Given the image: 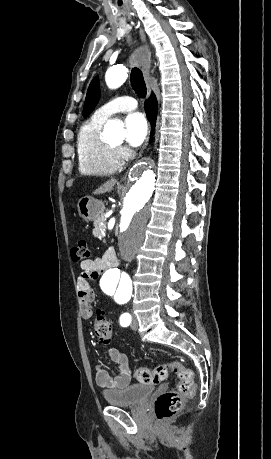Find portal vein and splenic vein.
Listing matches in <instances>:
<instances>
[{
  "label": "portal vein and splenic vein",
  "instance_id": "18ae733b",
  "mask_svg": "<svg viewBox=\"0 0 271 459\" xmlns=\"http://www.w3.org/2000/svg\"><path fill=\"white\" fill-rule=\"evenodd\" d=\"M106 225H107V224L105 223L104 226H103L104 229L106 228Z\"/></svg>",
  "mask_w": 271,
  "mask_h": 459
}]
</instances>
